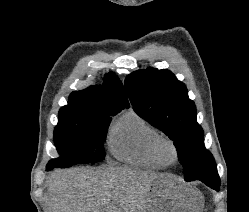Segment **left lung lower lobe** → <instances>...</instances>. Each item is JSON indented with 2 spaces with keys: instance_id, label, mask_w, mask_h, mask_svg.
<instances>
[{
  "instance_id": "left-lung-lower-lobe-1",
  "label": "left lung lower lobe",
  "mask_w": 249,
  "mask_h": 212,
  "mask_svg": "<svg viewBox=\"0 0 249 212\" xmlns=\"http://www.w3.org/2000/svg\"><path fill=\"white\" fill-rule=\"evenodd\" d=\"M186 180V179H185ZM186 181H193V180H186ZM203 183H205L208 187L219 191L220 190V178H207V179H200Z\"/></svg>"
}]
</instances>
